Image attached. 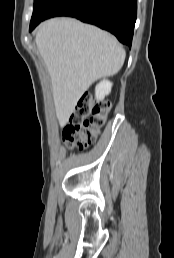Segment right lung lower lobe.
<instances>
[{"label": "right lung lower lobe", "instance_id": "obj_1", "mask_svg": "<svg viewBox=\"0 0 174 258\" xmlns=\"http://www.w3.org/2000/svg\"><path fill=\"white\" fill-rule=\"evenodd\" d=\"M56 16L74 17L96 25L131 47L137 0H59L48 11L45 19Z\"/></svg>", "mask_w": 174, "mask_h": 258}]
</instances>
